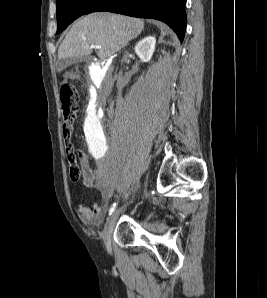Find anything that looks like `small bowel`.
<instances>
[{"label":"small bowel","instance_id":"1","mask_svg":"<svg viewBox=\"0 0 267 298\" xmlns=\"http://www.w3.org/2000/svg\"><path fill=\"white\" fill-rule=\"evenodd\" d=\"M82 177V182L85 188H96V172L88 165V162L85 158L82 159ZM100 193L103 199L102 204L95 203L92 207H88L86 205H80L78 207V213L81 219L92 225H97L101 223L103 214L107 209L111 197L113 196V190H100Z\"/></svg>","mask_w":267,"mask_h":298}]
</instances>
